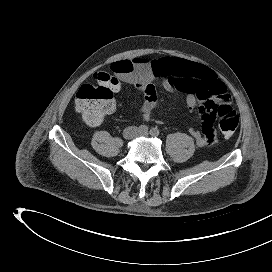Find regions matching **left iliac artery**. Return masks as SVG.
Wrapping results in <instances>:
<instances>
[{"mask_svg":"<svg viewBox=\"0 0 272 272\" xmlns=\"http://www.w3.org/2000/svg\"><path fill=\"white\" fill-rule=\"evenodd\" d=\"M159 133H160V131H159V129L156 128V127H155V128H151V130H150V134H151L152 136H154V137L158 136Z\"/></svg>","mask_w":272,"mask_h":272,"instance_id":"left-iliac-artery-1","label":"left iliac artery"}]
</instances>
